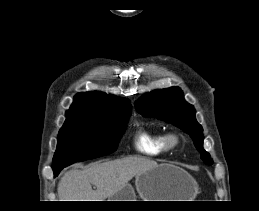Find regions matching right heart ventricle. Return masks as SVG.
<instances>
[{
	"label": "right heart ventricle",
	"instance_id": "e07e8e85",
	"mask_svg": "<svg viewBox=\"0 0 259 211\" xmlns=\"http://www.w3.org/2000/svg\"><path fill=\"white\" fill-rule=\"evenodd\" d=\"M133 144L137 152L149 157L161 156L170 150L167 133L162 129L140 128L135 134Z\"/></svg>",
	"mask_w": 259,
	"mask_h": 211
}]
</instances>
